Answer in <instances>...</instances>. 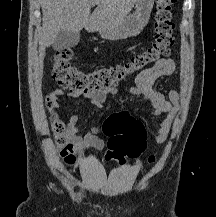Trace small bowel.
I'll return each mask as SVG.
<instances>
[{"label":"small bowel","instance_id":"c3829d8e","mask_svg":"<svg viewBox=\"0 0 216 217\" xmlns=\"http://www.w3.org/2000/svg\"><path fill=\"white\" fill-rule=\"evenodd\" d=\"M175 69V61L172 58H164L140 72L135 78L134 86L125 90L127 93L147 102L151 107L152 115H165L157 131L151 134V139L156 143H163L168 138L179 110L180 96L174 88L170 87L168 98H166L163 94L154 89V83L161 77L173 74ZM117 93L118 90L116 88L110 87L92 91L73 90L67 94V97L71 99L83 97L89 100L94 106L103 108L107 98ZM64 96V90L61 88L53 90L47 96L46 101L51 116H57L54 110L62 106L61 99ZM79 123L80 114H73L69 117L66 124L65 133L71 152L82 156L89 150H101L104 147V141L99 137L102 125L94 124L88 129L84 136H80L78 133Z\"/></svg>","mask_w":216,"mask_h":217}]
</instances>
